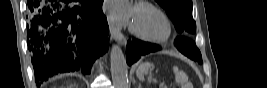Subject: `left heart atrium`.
<instances>
[{
  "label": "left heart atrium",
  "mask_w": 267,
  "mask_h": 88,
  "mask_svg": "<svg viewBox=\"0 0 267 88\" xmlns=\"http://www.w3.org/2000/svg\"><path fill=\"white\" fill-rule=\"evenodd\" d=\"M106 11L109 19L117 25H127L131 23L133 9L125 0H113L107 2Z\"/></svg>",
  "instance_id": "39dd6f15"
}]
</instances>
